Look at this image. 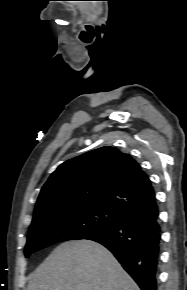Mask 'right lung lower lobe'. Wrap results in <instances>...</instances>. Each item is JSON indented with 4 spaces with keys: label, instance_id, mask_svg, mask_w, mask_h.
<instances>
[{
    "label": "right lung lower lobe",
    "instance_id": "obj_1",
    "mask_svg": "<svg viewBox=\"0 0 187 290\" xmlns=\"http://www.w3.org/2000/svg\"><path fill=\"white\" fill-rule=\"evenodd\" d=\"M85 239L108 248L141 290H157L161 226L158 209L126 217Z\"/></svg>",
    "mask_w": 187,
    "mask_h": 290
}]
</instances>
